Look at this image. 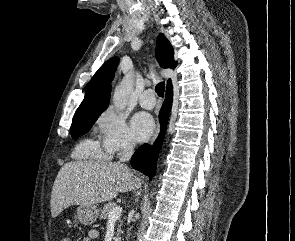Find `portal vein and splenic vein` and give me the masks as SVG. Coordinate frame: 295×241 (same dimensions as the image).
Instances as JSON below:
<instances>
[{
	"label": "portal vein and splenic vein",
	"instance_id": "obj_1",
	"mask_svg": "<svg viewBox=\"0 0 295 241\" xmlns=\"http://www.w3.org/2000/svg\"><path fill=\"white\" fill-rule=\"evenodd\" d=\"M122 213V208L120 206H115L108 214L109 221H116Z\"/></svg>",
	"mask_w": 295,
	"mask_h": 241
}]
</instances>
